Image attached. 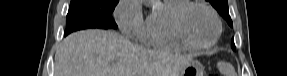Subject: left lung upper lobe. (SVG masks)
<instances>
[{"label": "left lung upper lobe", "mask_w": 287, "mask_h": 76, "mask_svg": "<svg viewBox=\"0 0 287 76\" xmlns=\"http://www.w3.org/2000/svg\"><path fill=\"white\" fill-rule=\"evenodd\" d=\"M212 6L217 9L218 13L227 21L229 26H233L232 20L228 12V3L227 0H207ZM232 48L235 49L234 40H232Z\"/></svg>", "instance_id": "1"}]
</instances>
